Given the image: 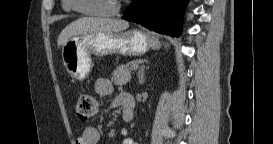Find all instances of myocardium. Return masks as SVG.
<instances>
[{"label": "myocardium", "mask_w": 273, "mask_h": 144, "mask_svg": "<svg viewBox=\"0 0 273 144\" xmlns=\"http://www.w3.org/2000/svg\"><path fill=\"white\" fill-rule=\"evenodd\" d=\"M71 7L74 11L90 16H109L116 14L120 9V3L118 1L115 2V5L108 10H87L80 6V0H70Z\"/></svg>", "instance_id": "f54148a6"}]
</instances>
